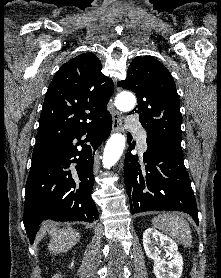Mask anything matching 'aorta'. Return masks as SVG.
<instances>
[{"label":"aorta","instance_id":"aorta-1","mask_svg":"<svg viewBox=\"0 0 221 278\" xmlns=\"http://www.w3.org/2000/svg\"><path fill=\"white\" fill-rule=\"evenodd\" d=\"M135 103L136 99L131 93H122L115 100L116 107L121 111L132 110L135 106ZM125 142V136L120 133L113 134L109 138L103 153L102 162L104 168L109 169L115 165L123 153Z\"/></svg>","mask_w":221,"mask_h":278}]
</instances>
